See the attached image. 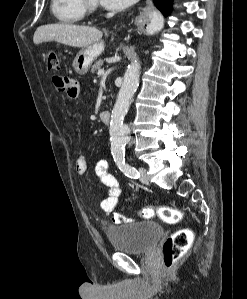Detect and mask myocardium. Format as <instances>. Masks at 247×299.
<instances>
[{
    "instance_id": "1",
    "label": "myocardium",
    "mask_w": 247,
    "mask_h": 299,
    "mask_svg": "<svg viewBox=\"0 0 247 299\" xmlns=\"http://www.w3.org/2000/svg\"><path fill=\"white\" fill-rule=\"evenodd\" d=\"M86 12L92 13L98 9L97 0H82Z\"/></svg>"
}]
</instances>
